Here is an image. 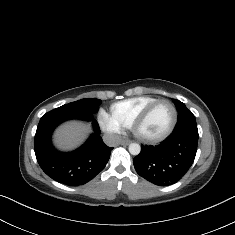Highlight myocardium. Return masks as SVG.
Returning a JSON list of instances; mask_svg holds the SVG:
<instances>
[{
    "mask_svg": "<svg viewBox=\"0 0 235 235\" xmlns=\"http://www.w3.org/2000/svg\"><path fill=\"white\" fill-rule=\"evenodd\" d=\"M164 102L169 103L173 108V118H172L171 124H170L169 128L167 129V131L164 134L159 135V136H155V137L141 136L139 134L140 127L147 122V120L150 118V116H151L152 112L155 110V108L159 104L164 103ZM177 120H178V110H177L176 105L171 100L166 99V98L157 99L151 105H149L141 113L140 116H138L134 120V122L131 126V131L137 141H139L141 143H145V144H155V143H159V142H161L171 136V134L174 132V129L176 127Z\"/></svg>",
    "mask_w": 235,
    "mask_h": 235,
    "instance_id": "1",
    "label": "myocardium"
}]
</instances>
